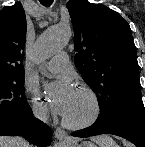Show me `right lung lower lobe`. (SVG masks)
Here are the masks:
<instances>
[{"instance_id":"right-lung-lower-lobe-1","label":"right lung lower lobe","mask_w":145,"mask_h":147,"mask_svg":"<svg viewBox=\"0 0 145 147\" xmlns=\"http://www.w3.org/2000/svg\"><path fill=\"white\" fill-rule=\"evenodd\" d=\"M19 135H24L30 143L40 147L51 144L49 127L34 118L30 107L22 115L0 119V136Z\"/></svg>"}]
</instances>
